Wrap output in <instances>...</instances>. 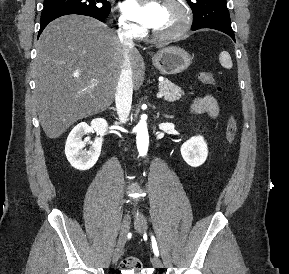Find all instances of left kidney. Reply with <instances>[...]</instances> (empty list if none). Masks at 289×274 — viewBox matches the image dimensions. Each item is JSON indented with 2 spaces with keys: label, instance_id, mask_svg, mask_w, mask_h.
I'll return each instance as SVG.
<instances>
[{
  "label": "left kidney",
  "instance_id": "left-kidney-1",
  "mask_svg": "<svg viewBox=\"0 0 289 274\" xmlns=\"http://www.w3.org/2000/svg\"><path fill=\"white\" fill-rule=\"evenodd\" d=\"M181 155L184 161L192 166L202 165L208 156L207 144L202 136H194L181 146Z\"/></svg>",
  "mask_w": 289,
  "mask_h": 274
}]
</instances>
